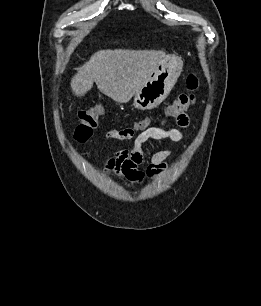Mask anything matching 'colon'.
<instances>
[{
    "instance_id": "colon-1",
    "label": "colon",
    "mask_w": 261,
    "mask_h": 306,
    "mask_svg": "<svg viewBox=\"0 0 261 306\" xmlns=\"http://www.w3.org/2000/svg\"><path fill=\"white\" fill-rule=\"evenodd\" d=\"M186 83L189 92L180 94L167 109L168 114L176 119L184 115L196 102L195 92L199 88L198 77L191 73L187 77ZM100 114L101 111L99 107L96 106L81 110L78 113V123L74 132V137L78 142L85 143L91 138L94 130L99 125ZM146 126L147 123L142 122L137 128L144 129ZM124 135L131 137L133 135V130H124Z\"/></svg>"
}]
</instances>
